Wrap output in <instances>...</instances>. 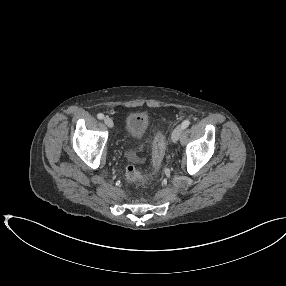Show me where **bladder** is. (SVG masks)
Returning <instances> with one entry per match:
<instances>
[{
	"label": "bladder",
	"instance_id": "31cf9c89",
	"mask_svg": "<svg viewBox=\"0 0 286 286\" xmlns=\"http://www.w3.org/2000/svg\"><path fill=\"white\" fill-rule=\"evenodd\" d=\"M149 120L144 114H132L126 118L125 129L132 139L141 138L147 131Z\"/></svg>",
	"mask_w": 286,
	"mask_h": 286
}]
</instances>
